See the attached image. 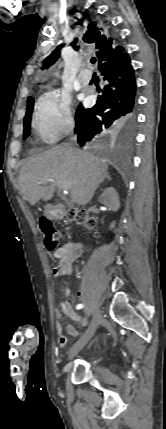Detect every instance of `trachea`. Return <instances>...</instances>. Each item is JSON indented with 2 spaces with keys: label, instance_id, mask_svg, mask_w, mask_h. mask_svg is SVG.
Wrapping results in <instances>:
<instances>
[{
  "label": "trachea",
  "instance_id": "3493384b",
  "mask_svg": "<svg viewBox=\"0 0 166 429\" xmlns=\"http://www.w3.org/2000/svg\"><path fill=\"white\" fill-rule=\"evenodd\" d=\"M96 62V58L95 57H92V59H91V63L92 64H94Z\"/></svg>",
  "mask_w": 166,
  "mask_h": 429
}]
</instances>
